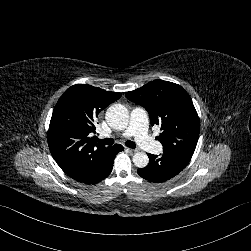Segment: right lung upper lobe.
<instances>
[{
  "instance_id": "1",
  "label": "right lung upper lobe",
  "mask_w": 251,
  "mask_h": 251,
  "mask_svg": "<svg viewBox=\"0 0 251 251\" xmlns=\"http://www.w3.org/2000/svg\"><path fill=\"white\" fill-rule=\"evenodd\" d=\"M121 95L76 84L58 100L49 125L48 145L56 163L71 178L87 176L110 157L112 147L96 143L90 135L96 133L94 119Z\"/></svg>"
}]
</instances>
